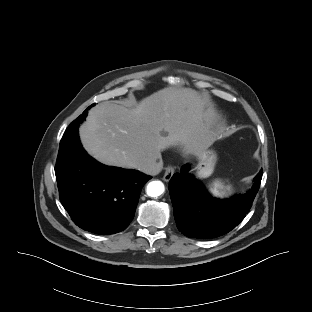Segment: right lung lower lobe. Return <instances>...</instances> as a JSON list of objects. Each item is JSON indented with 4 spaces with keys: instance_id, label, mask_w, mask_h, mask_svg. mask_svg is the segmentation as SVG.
<instances>
[{
    "instance_id": "obj_1",
    "label": "right lung lower lobe",
    "mask_w": 312,
    "mask_h": 312,
    "mask_svg": "<svg viewBox=\"0 0 312 312\" xmlns=\"http://www.w3.org/2000/svg\"><path fill=\"white\" fill-rule=\"evenodd\" d=\"M59 197L74 223L96 234L126 229L144 184L151 176L105 166L83 149L78 129L58 152L55 166Z\"/></svg>"
}]
</instances>
